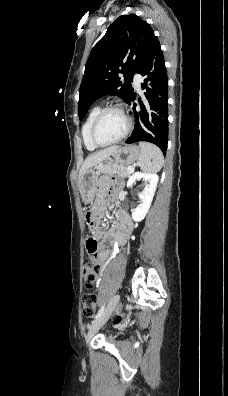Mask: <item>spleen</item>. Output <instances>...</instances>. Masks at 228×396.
Wrapping results in <instances>:
<instances>
[{
  "mask_svg": "<svg viewBox=\"0 0 228 396\" xmlns=\"http://www.w3.org/2000/svg\"><path fill=\"white\" fill-rule=\"evenodd\" d=\"M141 149L140 167L147 173H156L160 171L164 163V157L161 150L149 142H139Z\"/></svg>",
  "mask_w": 228,
  "mask_h": 396,
  "instance_id": "obj_1",
  "label": "spleen"
}]
</instances>
